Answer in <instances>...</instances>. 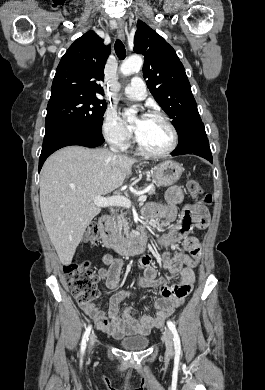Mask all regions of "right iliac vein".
I'll return each instance as SVG.
<instances>
[{"label": "right iliac vein", "instance_id": "1", "mask_svg": "<svg viewBox=\"0 0 265 390\" xmlns=\"http://www.w3.org/2000/svg\"><path fill=\"white\" fill-rule=\"evenodd\" d=\"M96 342V334L93 332L91 335H90V339H89V350L91 351L94 344Z\"/></svg>", "mask_w": 265, "mask_h": 390}]
</instances>
